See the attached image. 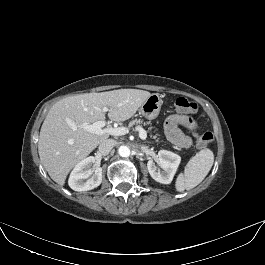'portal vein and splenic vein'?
Here are the masks:
<instances>
[{
  "label": "portal vein and splenic vein",
  "mask_w": 265,
  "mask_h": 265,
  "mask_svg": "<svg viewBox=\"0 0 265 265\" xmlns=\"http://www.w3.org/2000/svg\"><path fill=\"white\" fill-rule=\"evenodd\" d=\"M103 111L107 112L108 108L104 107ZM69 124L72 125L71 122H69ZM105 126H106L105 121H97L93 124H83L82 128H84L85 130H87L89 132L96 133L98 135L107 134V135H113V136H122V135H125L129 132L128 128H126V127H118V128L107 127V128H104ZM136 131L139 132V137L142 140H146L147 134L143 128L137 127Z\"/></svg>",
  "instance_id": "1"
}]
</instances>
